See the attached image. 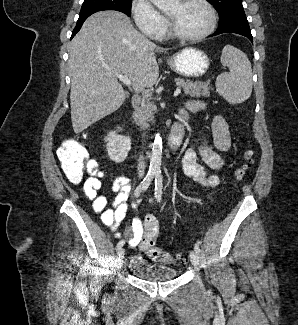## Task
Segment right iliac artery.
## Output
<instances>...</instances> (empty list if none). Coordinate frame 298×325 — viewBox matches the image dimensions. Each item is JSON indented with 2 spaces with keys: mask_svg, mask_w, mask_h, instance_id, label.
I'll use <instances>...</instances> for the list:
<instances>
[{
  "mask_svg": "<svg viewBox=\"0 0 298 325\" xmlns=\"http://www.w3.org/2000/svg\"><path fill=\"white\" fill-rule=\"evenodd\" d=\"M154 176H155V172H148V174L146 175V177L143 179V181L136 188L135 193H134L135 197H139V195H140V193L142 191H146L147 190V188L151 184ZM124 243H125V241L124 240H121L117 244L116 249L119 250L120 248H122V246L124 245Z\"/></svg>",
  "mask_w": 298,
  "mask_h": 325,
  "instance_id": "1",
  "label": "right iliac artery"
}]
</instances>
